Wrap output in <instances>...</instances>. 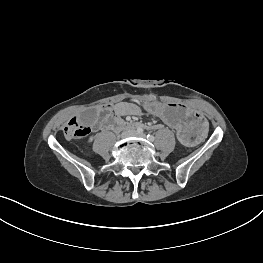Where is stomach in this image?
<instances>
[{"mask_svg":"<svg viewBox=\"0 0 263 263\" xmlns=\"http://www.w3.org/2000/svg\"><path fill=\"white\" fill-rule=\"evenodd\" d=\"M154 118L172 128V133L187 149H195L204 143L211 133V126L204 114L198 110L189 111L185 106L175 103L149 106Z\"/></svg>","mask_w":263,"mask_h":263,"instance_id":"obj_1","label":"stomach"}]
</instances>
